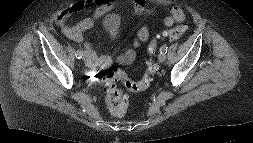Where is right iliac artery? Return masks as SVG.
Instances as JSON below:
<instances>
[{
  "label": "right iliac artery",
  "instance_id": "right-iliac-artery-1",
  "mask_svg": "<svg viewBox=\"0 0 253 143\" xmlns=\"http://www.w3.org/2000/svg\"><path fill=\"white\" fill-rule=\"evenodd\" d=\"M75 55H76V58H77V59H81L82 56H83V53H82L81 50H77Z\"/></svg>",
  "mask_w": 253,
  "mask_h": 143
}]
</instances>
